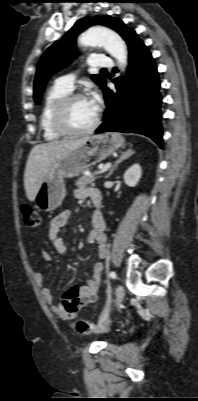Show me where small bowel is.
<instances>
[{
    "mask_svg": "<svg viewBox=\"0 0 198 401\" xmlns=\"http://www.w3.org/2000/svg\"><path fill=\"white\" fill-rule=\"evenodd\" d=\"M96 190L79 188L74 191V195L78 199L90 197L91 193ZM98 192V191H96ZM70 212L64 210L55 216L48 230V239L55 248V250L62 256L68 255V249L62 238L59 236V232L66 227L69 220ZM93 228L88 237V243L96 245L98 248V255L100 258H104L107 254V236L105 234V223L102 213L99 210H95L92 213ZM43 255L46 259H50L51 255L49 252L44 251ZM102 262H97L94 265L93 273L89 282L85 285H75L73 287L74 296L70 300L72 304L76 306L74 312L67 311L64 307L54 305L55 299L53 293L47 289H42V295L44 299L53 306V310L56 315L63 320H73L78 316L81 308L96 301L98 292L101 288L102 283ZM35 280L39 286L44 284V277L40 272H35ZM75 328L80 334H89L96 329L94 323H87L84 325H75Z\"/></svg>",
    "mask_w": 198,
    "mask_h": 401,
    "instance_id": "c3829d8e",
    "label": "small bowel"
}]
</instances>
